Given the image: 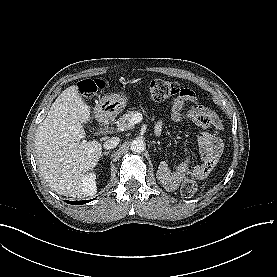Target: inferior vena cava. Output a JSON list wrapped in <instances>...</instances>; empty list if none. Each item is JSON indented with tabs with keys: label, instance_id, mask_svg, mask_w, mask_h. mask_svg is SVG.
Instances as JSON below:
<instances>
[{
	"label": "inferior vena cava",
	"instance_id": "inferior-vena-cava-1",
	"mask_svg": "<svg viewBox=\"0 0 277 277\" xmlns=\"http://www.w3.org/2000/svg\"><path fill=\"white\" fill-rule=\"evenodd\" d=\"M120 142V139L118 137H112L106 140L103 144L104 149H113L115 148Z\"/></svg>",
	"mask_w": 277,
	"mask_h": 277
}]
</instances>
